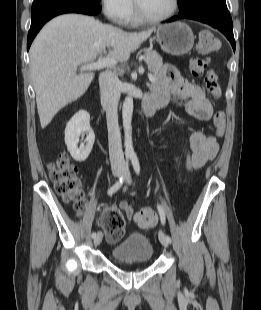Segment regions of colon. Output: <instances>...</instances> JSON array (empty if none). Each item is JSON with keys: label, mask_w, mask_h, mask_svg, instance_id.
<instances>
[{"label": "colon", "mask_w": 261, "mask_h": 310, "mask_svg": "<svg viewBox=\"0 0 261 310\" xmlns=\"http://www.w3.org/2000/svg\"><path fill=\"white\" fill-rule=\"evenodd\" d=\"M220 49L221 43L212 32L200 31L197 50L201 55L208 56L219 52ZM208 66L207 58H196L190 63V72L193 77L204 75V85L208 94L213 100H218L222 94L218 77L212 69H208ZM213 124L215 138H221L225 132V114L221 111L215 113ZM185 165L187 169L192 168V157L189 152L185 154ZM49 175L57 194L71 203L77 211H81L85 206V193L77 167L65 155H60L50 164ZM118 209L117 204L103 208V215L100 218V224L110 243L118 242L124 235L125 219ZM134 220L139 227L150 228L157 223V215L151 208H144L134 215Z\"/></svg>", "instance_id": "1"}]
</instances>
